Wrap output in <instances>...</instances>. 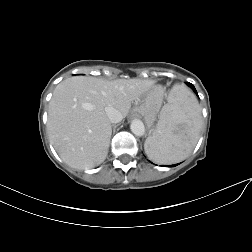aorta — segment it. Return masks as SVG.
Masks as SVG:
<instances>
[{"mask_svg": "<svg viewBox=\"0 0 252 252\" xmlns=\"http://www.w3.org/2000/svg\"><path fill=\"white\" fill-rule=\"evenodd\" d=\"M130 129L136 136H142L145 133V127L141 120L135 119L131 122Z\"/></svg>", "mask_w": 252, "mask_h": 252, "instance_id": "aorta-1", "label": "aorta"}]
</instances>
